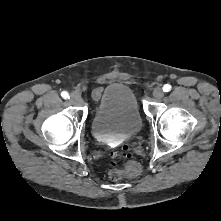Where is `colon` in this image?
Segmentation results:
<instances>
[{
  "label": "colon",
  "mask_w": 221,
  "mask_h": 221,
  "mask_svg": "<svg viewBox=\"0 0 221 221\" xmlns=\"http://www.w3.org/2000/svg\"><path fill=\"white\" fill-rule=\"evenodd\" d=\"M115 156V155H114ZM122 156L128 158L122 169H113L110 171L109 176L112 180L117 181L124 176L136 177L141 172V166L138 162L129 158L128 148L124 147Z\"/></svg>",
  "instance_id": "obj_1"
}]
</instances>
